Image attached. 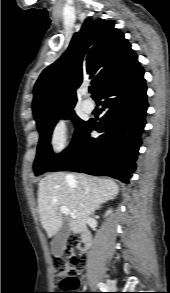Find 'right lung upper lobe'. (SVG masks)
Returning <instances> with one entry per match:
<instances>
[{
    "mask_svg": "<svg viewBox=\"0 0 170 293\" xmlns=\"http://www.w3.org/2000/svg\"><path fill=\"white\" fill-rule=\"evenodd\" d=\"M112 20L87 18L67 51L43 70L34 87L37 128L71 110L76 89L90 79L96 99L102 88L136 70L137 55Z\"/></svg>",
    "mask_w": 170,
    "mask_h": 293,
    "instance_id": "obj_1",
    "label": "right lung upper lobe"
}]
</instances>
